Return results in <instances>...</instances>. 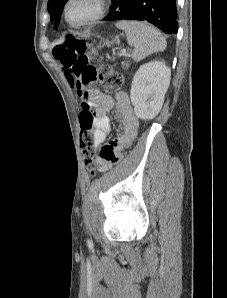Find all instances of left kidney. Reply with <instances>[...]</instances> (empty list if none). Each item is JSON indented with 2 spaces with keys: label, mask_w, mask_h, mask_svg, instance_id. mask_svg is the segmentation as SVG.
Returning <instances> with one entry per match:
<instances>
[{
  "label": "left kidney",
  "mask_w": 227,
  "mask_h": 298,
  "mask_svg": "<svg viewBox=\"0 0 227 298\" xmlns=\"http://www.w3.org/2000/svg\"><path fill=\"white\" fill-rule=\"evenodd\" d=\"M171 70L164 62L152 61L135 73L130 98L135 115L143 120L153 119L162 108L170 84Z\"/></svg>",
  "instance_id": "1"
}]
</instances>
